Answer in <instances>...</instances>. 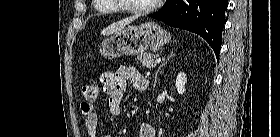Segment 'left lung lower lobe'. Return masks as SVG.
I'll list each match as a JSON object with an SVG mask.
<instances>
[{
    "label": "left lung lower lobe",
    "instance_id": "0a47b994",
    "mask_svg": "<svg viewBox=\"0 0 280 137\" xmlns=\"http://www.w3.org/2000/svg\"><path fill=\"white\" fill-rule=\"evenodd\" d=\"M227 0H168L150 17L203 37L219 60Z\"/></svg>",
    "mask_w": 280,
    "mask_h": 137
}]
</instances>
